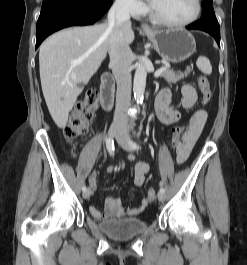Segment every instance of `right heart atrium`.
I'll list each match as a JSON object with an SVG mask.
<instances>
[{
  "instance_id": "1",
  "label": "right heart atrium",
  "mask_w": 247,
  "mask_h": 265,
  "mask_svg": "<svg viewBox=\"0 0 247 265\" xmlns=\"http://www.w3.org/2000/svg\"><path fill=\"white\" fill-rule=\"evenodd\" d=\"M117 7L132 16L144 13V5L139 0H115Z\"/></svg>"
}]
</instances>
